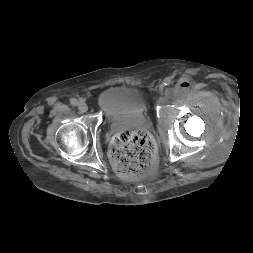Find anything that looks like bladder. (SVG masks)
I'll use <instances>...</instances> for the list:
<instances>
[{
	"instance_id": "bladder-1",
	"label": "bladder",
	"mask_w": 253,
	"mask_h": 253,
	"mask_svg": "<svg viewBox=\"0 0 253 253\" xmlns=\"http://www.w3.org/2000/svg\"><path fill=\"white\" fill-rule=\"evenodd\" d=\"M98 109L108 118L137 116L148 109L144 92L133 85H114L104 89L97 97Z\"/></svg>"
}]
</instances>
